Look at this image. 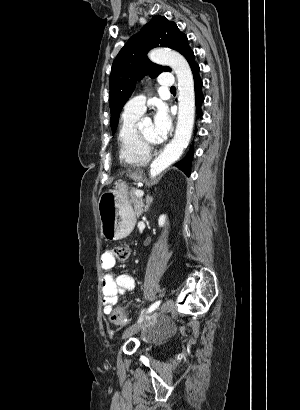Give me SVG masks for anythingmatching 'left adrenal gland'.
<instances>
[{
    "label": "left adrenal gland",
    "instance_id": "left-adrenal-gland-1",
    "mask_svg": "<svg viewBox=\"0 0 300 410\" xmlns=\"http://www.w3.org/2000/svg\"><path fill=\"white\" fill-rule=\"evenodd\" d=\"M152 201H153V197H151V196L148 194V195L146 196V205H145V208H144V212H147V211H148V209H149V207H150Z\"/></svg>",
    "mask_w": 300,
    "mask_h": 410
}]
</instances>
